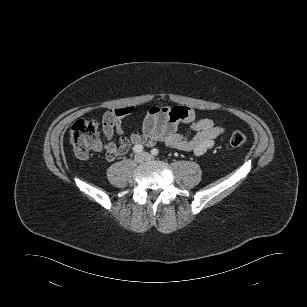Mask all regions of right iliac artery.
<instances>
[{
	"label": "right iliac artery",
	"instance_id": "1",
	"mask_svg": "<svg viewBox=\"0 0 307 307\" xmlns=\"http://www.w3.org/2000/svg\"><path fill=\"white\" fill-rule=\"evenodd\" d=\"M143 150V146L142 145H135L133 147V152L134 153H140Z\"/></svg>",
	"mask_w": 307,
	"mask_h": 307
}]
</instances>
